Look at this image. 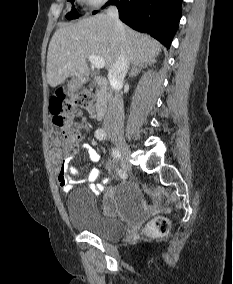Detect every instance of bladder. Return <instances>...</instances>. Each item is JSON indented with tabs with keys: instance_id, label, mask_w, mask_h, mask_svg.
Here are the masks:
<instances>
[{
	"instance_id": "1",
	"label": "bladder",
	"mask_w": 233,
	"mask_h": 284,
	"mask_svg": "<svg viewBox=\"0 0 233 284\" xmlns=\"http://www.w3.org/2000/svg\"><path fill=\"white\" fill-rule=\"evenodd\" d=\"M112 196L116 202L125 206L138 205L141 200L139 191L131 184L118 186ZM67 212L74 228L92 233L101 239H116L123 235L127 228L121 219L103 215L93 195L83 189L70 193Z\"/></svg>"
}]
</instances>
